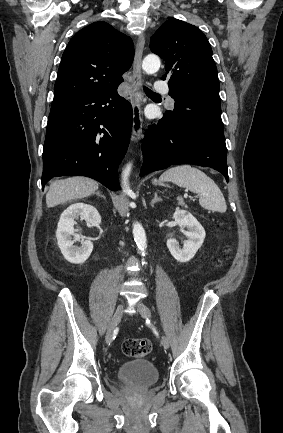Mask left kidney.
<instances>
[{
  "instance_id": "1",
  "label": "left kidney",
  "mask_w": 283,
  "mask_h": 433,
  "mask_svg": "<svg viewBox=\"0 0 283 433\" xmlns=\"http://www.w3.org/2000/svg\"><path fill=\"white\" fill-rule=\"evenodd\" d=\"M173 218L187 237V240L184 242L183 248H180L177 240L169 239L167 240V247L177 261L184 263L194 257L202 246L206 233L198 220L185 210L177 209L173 214ZM185 228L187 230H184Z\"/></svg>"
}]
</instances>
